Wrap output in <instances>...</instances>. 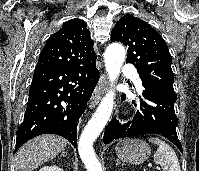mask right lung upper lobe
<instances>
[{
    "mask_svg": "<svg viewBox=\"0 0 199 171\" xmlns=\"http://www.w3.org/2000/svg\"><path fill=\"white\" fill-rule=\"evenodd\" d=\"M94 41L87 24L80 19H71L51 35L46 42L36 68L47 66H75L96 58Z\"/></svg>",
    "mask_w": 199,
    "mask_h": 171,
    "instance_id": "1",
    "label": "right lung upper lobe"
}]
</instances>
